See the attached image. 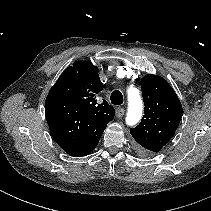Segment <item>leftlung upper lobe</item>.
<instances>
[{
    "label": "left lung upper lobe",
    "instance_id": "obj_1",
    "mask_svg": "<svg viewBox=\"0 0 211 211\" xmlns=\"http://www.w3.org/2000/svg\"><path fill=\"white\" fill-rule=\"evenodd\" d=\"M141 89L144 115L130 133L138 149L157 153L174 136L182 117V105L173 88L160 76H144Z\"/></svg>",
    "mask_w": 211,
    "mask_h": 211
}]
</instances>
